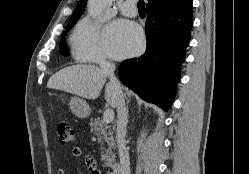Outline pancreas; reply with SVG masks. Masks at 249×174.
Instances as JSON below:
<instances>
[{"instance_id": "1", "label": "pancreas", "mask_w": 249, "mask_h": 174, "mask_svg": "<svg viewBox=\"0 0 249 174\" xmlns=\"http://www.w3.org/2000/svg\"><path fill=\"white\" fill-rule=\"evenodd\" d=\"M90 127L91 132H95L99 136L98 141L101 142L102 161H104L106 166L111 167L115 161L114 149L116 147L113 132L99 117L91 119ZM105 144H107V148L104 147Z\"/></svg>"}]
</instances>
